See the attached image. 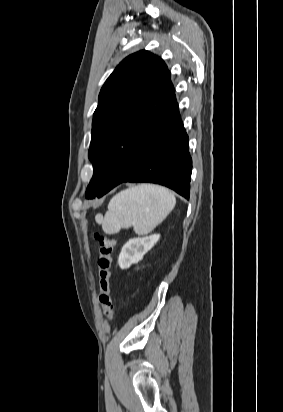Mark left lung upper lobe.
Returning <instances> with one entry per match:
<instances>
[{
	"instance_id": "obj_1",
	"label": "left lung upper lobe",
	"mask_w": 283,
	"mask_h": 412,
	"mask_svg": "<svg viewBox=\"0 0 283 412\" xmlns=\"http://www.w3.org/2000/svg\"><path fill=\"white\" fill-rule=\"evenodd\" d=\"M175 103L170 72L162 59L144 50L125 58L99 94L88 153L93 169L104 150L137 163ZM99 192L100 183L91 180L85 196L92 199Z\"/></svg>"
}]
</instances>
